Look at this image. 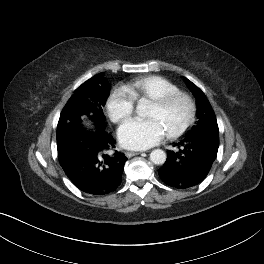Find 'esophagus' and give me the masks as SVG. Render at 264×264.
Segmentation results:
<instances>
[{
	"label": "esophagus",
	"mask_w": 264,
	"mask_h": 264,
	"mask_svg": "<svg viewBox=\"0 0 264 264\" xmlns=\"http://www.w3.org/2000/svg\"><path fill=\"white\" fill-rule=\"evenodd\" d=\"M138 154H141V152L139 151H135V152H125V155L130 158L132 156H135V155H138Z\"/></svg>",
	"instance_id": "1"
}]
</instances>
